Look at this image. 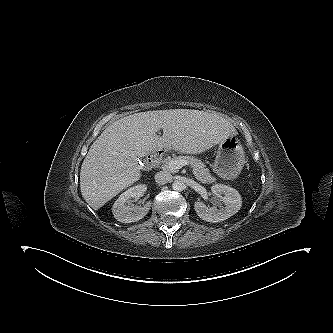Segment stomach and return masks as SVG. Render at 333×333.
I'll use <instances>...</instances> for the list:
<instances>
[{
  "instance_id": "1",
  "label": "stomach",
  "mask_w": 333,
  "mask_h": 333,
  "mask_svg": "<svg viewBox=\"0 0 333 333\" xmlns=\"http://www.w3.org/2000/svg\"><path fill=\"white\" fill-rule=\"evenodd\" d=\"M245 164V154L234 135L223 140L218 147L213 171L220 178L233 180L239 176Z\"/></svg>"
}]
</instances>
